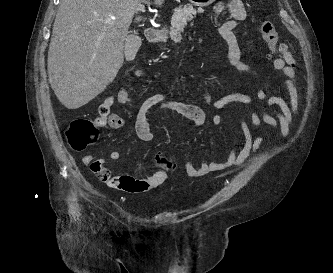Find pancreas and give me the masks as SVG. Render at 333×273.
Wrapping results in <instances>:
<instances>
[{"label":"pancreas","mask_w":333,"mask_h":273,"mask_svg":"<svg viewBox=\"0 0 333 273\" xmlns=\"http://www.w3.org/2000/svg\"><path fill=\"white\" fill-rule=\"evenodd\" d=\"M202 9L198 11L191 5L179 6L175 8L172 19L169 35L172 39L178 40L183 33L188 21H192L197 13H201Z\"/></svg>","instance_id":"cf45deb5"}]
</instances>
